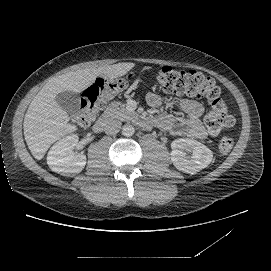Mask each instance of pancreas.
Returning a JSON list of instances; mask_svg holds the SVG:
<instances>
[{
    "mask_svg": "<svg viewBox=\"0 0 271 271\" xmlns=\"http://www.w3.org/2000/svg\"><path fill=\"white\" fill-rule=\"evenodd\" d=\"M105 114L117 118L121 121L130 120L135 114L126 110L121 102H112L104 112Z\"/></svg>",
    "mask_w": 271,
    "mask_h": 271,
    "instance_id": "cf45deb5",
    "label": "pancreas"
}]
</instances>
